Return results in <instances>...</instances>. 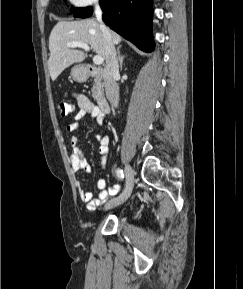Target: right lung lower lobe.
<instances>
[{"label": "right lung lower lobe", "mask_w": 243, "mask_h": 289, "mask_svg": "<svg viewBox=\"0 0 243 289\" xmlns=\"http://www.w3.org/2000/svg\"><path fill=\"white\" fill-rule=\"evenodd\" d=\"M103 21L115 32L145 52L153 51L152 0H100ZM92 7L81 8L77 18L90 17Z\"/></svg>", "instance_id": "right-lung-lower-lobe-1"}]
</instances>
